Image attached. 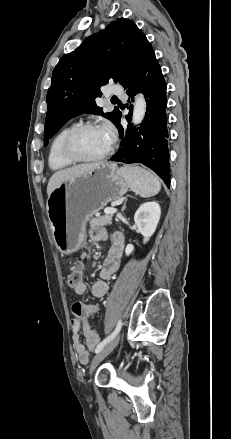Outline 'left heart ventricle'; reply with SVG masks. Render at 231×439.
I'll use <instances>...</instances> for the list:
<instances>
[{"label":"left heart ventricle","instance_id":"b2bd125f","mask_svg":"<svg viewBox=\"0 0 231 439\" xmlns=\"http://www.w3.org/2000/svg\"><path fill=\"white\" fill-rule=\"evenodd\" d=\"M110 142L101 128L87 129L74 139V148L82 157H96L104 153Z\"/></svg>","mask_w":231,"mask_h":439}]
</instances>
